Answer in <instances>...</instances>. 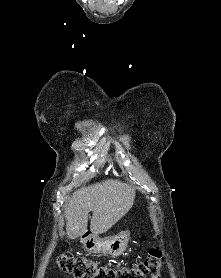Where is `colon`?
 Segmentation results:
<instances>
[{"mask_svg": "<svg viewBox=\"0 0 221 278\" xmlns=\"http://www.w3.org/2000/svg\"><path fill=\"white\" fill-rule=\"evenodd\" d=\"M162 252L158 247L150 250L146 259L133 267L113 268L69 253L58 258L59 268L76 278H159Z\"/></svg>", "mask_w": 221, "mask_h": 278, "instance_id": "obj_1", "label": "colon"}]
</instances>
